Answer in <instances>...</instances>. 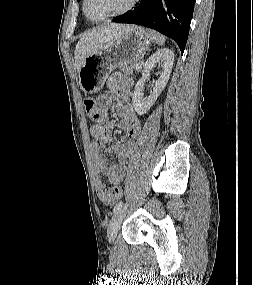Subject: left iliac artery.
Masks as SVG:
<instances>
[{"instance_id": "44dca946", "label": "left iliac artery", "mask_w": 253, "mask_h": 285, "mask_svg": "<svg viewBox=\"0 0 253 285\" xmlns=\"http://www.w3.org/2000/svg\"><path fill=\"white\" fill-rule=\"evenodd\" d=\"M123 206V202L120 201L119 203L116 204V206L113 209V213H116L118 210H120Z\"/></svg>"}]
</instances>
